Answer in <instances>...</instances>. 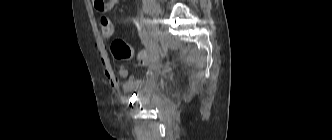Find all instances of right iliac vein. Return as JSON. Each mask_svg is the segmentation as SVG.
I'll list each match as a JSON object with an SVG mask.
<instances>
[{
	"label": "right iliac vein",
	"mask_w": 332,
	"mask_h": 140,
	"mask_svg": "<svg viewBox=\"0 0 332 140\" xmlns=\"http://www.w3.org/2000/svg\"><path fill=\"white\" fill-rule=\"evenodd\" d=\"M156 24H157V21H156V19H154V20L152 21V24H151V27H150V36H151V37H153V36L155 35L156 31H157V26H156Z\"/></svg>",
	"instance_id": "right-iliac-vein-1"
}]
</instances>
